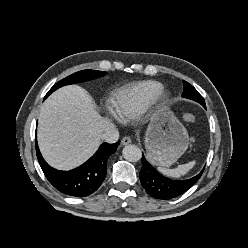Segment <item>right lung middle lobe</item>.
I'll list each match as a JSON object with an SVG mask.
<instances>
[{"mask_svg": "<svg viewBox=\"0 0 248 248\" xmlns=\"http://www.w3.org/2000/svg\"><path fill=\"white\" fill-rule=\"evenodd\" d=\"M106 74V72L103 71H97V70H82L79 72H76L58 83H56L47 93L46 97L49 96L53 91L57 90L58 88L69 85V84H74L78 82H84L88 80H93L99 77H102Z\"/></svg>", "mask_w": 248, "mask_h": 248, "instance_id": "1", "label": "right lung middle lobe"}]
</instances>
